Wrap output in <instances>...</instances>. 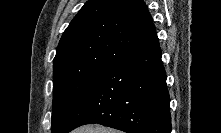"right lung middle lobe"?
I'll return each mask as SVG.
<instances>
[{"label":"right lung middle lobe","mask_w":221,"mask_h":133,"mask_svg":"<svg viewBox=\"0 0 221 133\" xmlns=\"http://www.w3.org/2000/svg\"><path fill=\"white\" fill-rule=\"evenodd\" d=\"M107 68H68L54 73L52 133H64Z\"/></svg>","instance_id":"right-lung-middle-lobe-1"}]
</instances>
